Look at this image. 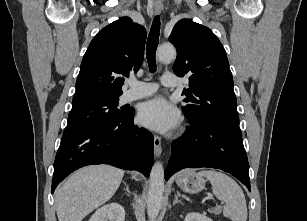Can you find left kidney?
I'll return each instance as SVG.
<instances>
[{
  "label": "left kidney",
  "instance_id": "5707ae66",
  "mask_svg": "<svg viewBox=\"0 0 307 221\" xmlns=\"http://www.w3.org/2000/svg\"><path fill=\"white\" fill-rule=\"evenodd\" d=\"M184 221H212V220L204 214L191 212L186 215Z\"/></svg>",
  "mask_w": 307,
  "mask_h": 221
}]
</instances>
